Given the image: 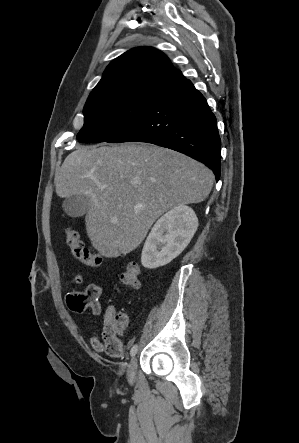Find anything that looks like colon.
Here are the masks:
<instances>
[{"instance_id":"obj_1","label":"colon","mask_w":299,"mask_h":443,"mask_svg":"<svg viewBox=\"0 0 299 443\" xmlns=\"http://www.w3.org/2000/svg\"><path fill=\"white\" fill-rule=\"evenodd\" d=\"M65 240L73 255L87 266H97L101 262V256L94 249L86 247L77 231L71 228L65 230ZM120 284L123 287L136 289L139 286V266L129 263L120 275ZM127 319L124 314H114L107 322V329L113 334H119L126 327Z\"/></svg>"}]
</instances>
